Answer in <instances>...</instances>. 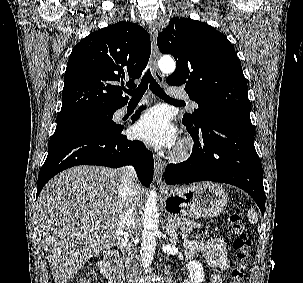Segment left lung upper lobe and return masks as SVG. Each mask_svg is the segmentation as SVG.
I'll list each match as a JSON object with an SVG mask.
<instances>
[{"instance_id": "1", "label": "left lung upper lobe", "mask_w": 303, "mask_h": 283, "mask_svg": "<svg viewBox=\"0 0 303 283\" xmlns=\"http://www.w3.org/2000/svg\"><path fill=\"white\" fill-rule=\"evenodd\" d=\"M163 54L176 60V70L166 82L184 84L198 104L183 123L200 128L209 115H231L250 118L247 83L234 47L214 27L190 18L174 17L158 35Z\"/></svg>"}]
</instances>
